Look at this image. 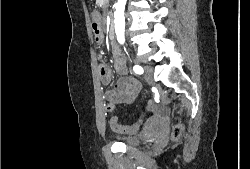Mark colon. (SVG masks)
I'll use <instances>...</instances> for the list:
<instances>
[{
    "mask_svg": "<svg viewBox=\"0 0 250 169\" xmlns=\"http://www.w3.org/2000/svg\"><path fill=\"white\" fill-rule=\"evenodd\" d=\"M92 31L93 35L95 38L96 42H100L102 40V30L99 22V18L96 16L93 18V23H92ZM108 108H115L116 104L115 103H108L107 104ZM109 113L111 112L110 110L108 111ZM177 115H181V120H186V115H183V110H177ZM115 119H110V126L111 129L115 132H128L129 130H132V132L138 131L141 126L142 122L136 123L132 128L126 127V126H121L117 123V117H114ZM139 120H144V115H139ZM176 126H172L171 134H170V139H173V142H176L177 139H183L184 135V130L185 127H187V122H176Z\"/></svg>",
    "mask_w": 250,
    "mask_h": 169,
    "instance_id": "colon-1",
    "label": "colon"
}]
</instances>
